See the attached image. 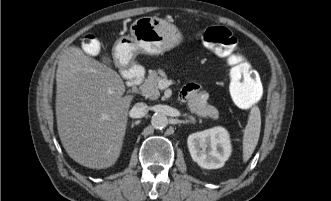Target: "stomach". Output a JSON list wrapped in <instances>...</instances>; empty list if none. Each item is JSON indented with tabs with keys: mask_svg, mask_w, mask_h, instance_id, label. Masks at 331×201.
<instances>
[{
	"mask_svg": "<svg viewBox=\"0 0 331 201\" xmlns=\"http://www.w3.org/2000/svg\"><path fill=\"white\" fill-rule=\"evenodd\" d=\"M182 41L178 29L157 17H140L130 26V34L120 37L114 46L122 66H129L139 53L159 55L176 47Z\"/></svg>",
	"mask_w": 331,
	"mask_h": 201,
	"instance_id": "obj_1",
	"label": "stomach"
}]
</instances>
